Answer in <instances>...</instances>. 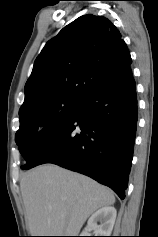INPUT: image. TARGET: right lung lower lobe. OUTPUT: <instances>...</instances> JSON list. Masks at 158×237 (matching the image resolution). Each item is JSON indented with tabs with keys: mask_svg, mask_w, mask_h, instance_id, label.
Instances as JSON below:
<instances>
[{
	"mask_svg": "<svg viewBox=\"0 0 158 237\" xmlns=\"http://www.w3.org/2000/svg\"><path fill=\"white\" fill-rule=\"evenodd\" d=\"M138 118L130 66L82 102L22 169L54 163L87 175L125 198Z\"/></svg>",
	"mask_w": 158,
	"mask_h": 237,
	"instance_id": "98d812e1",
	"label": "right lung lower lobe"
}]
</instances>
